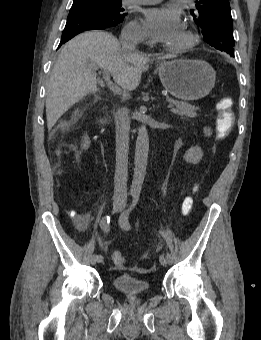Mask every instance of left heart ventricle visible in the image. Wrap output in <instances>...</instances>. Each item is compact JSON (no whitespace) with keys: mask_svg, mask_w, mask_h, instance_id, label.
Segmentation results:
<instances>
[{"mask_svg":"<svg viewBox=\"0 0 261 340\" xmlns=\"http://www.w3.org/2000/svg\"><path fill=\"white\" fill-rule=\"evenodd\" d=\"M184 40V34L183 31H180V33L172 40L170 45H176L181 43Z\"/></svg>","mask_w":261,"mask_h":340,"instance_id":"b2bd125f","label":"left heart ventricle"}]
</instances>
